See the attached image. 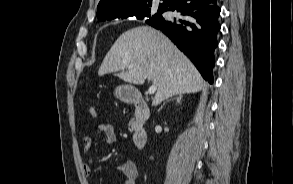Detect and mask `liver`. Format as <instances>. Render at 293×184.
Segmentation results:
<instances>
[{
    "instance_id": "6515ba94",
    "label": "liver",
    "mask_w": 293,
    "mask_h": 184,
    "mask_svg": "<svg viewBox=\"0 0 293 184\" xmlns=\"http://www.w3.org/2000/svg\"><path fill=\"white\" fill-rule=\"evenodd\" d=\"M99 73H117L120 79L136 85L152 80L157 87L154 106L206 86L191 61L162 32L150 26L134 27L121 34L106 54Z\"/></svg>"
}]
</instances>
